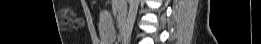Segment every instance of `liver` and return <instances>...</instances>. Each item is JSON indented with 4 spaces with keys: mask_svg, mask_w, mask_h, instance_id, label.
<instances>
[{
    "mask_svg": "<svg viewBox=\"0 0 261 44\" xmlns=\"http://www.w3.org/2000/svg\"><path fill=\"white\" fill-rule=\"evenodd\" d=\"M96 30H101L100 35L103 39H107L109 34L104 30H115V25H96Z\"/></svg>",
    "mask_w": 261,
    "mask_h": 44,
    "instance_id": "obj_1",
    "label": "liver"
}]
</instances>
